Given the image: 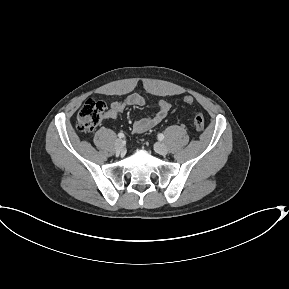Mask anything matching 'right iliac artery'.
I'll return each instance as SVG.
<instances>
[{
  "instance_id": "right-iliac-artery-1",
  "label": "right iliac artery",
  "mask_w": 289,
  "mask_h": 289,
  "mask_svg": "<svg viewBox=\"0 0 289 289\" xmlns=\"http://www.w3.org/2000/svg\"><path fill=\"white\" fill-rule=\"evenodd\" d=\"M118 137H119V138H124L125 135H124L123 133H119V134H118Z\"/></svg>"
}]
</instances>
